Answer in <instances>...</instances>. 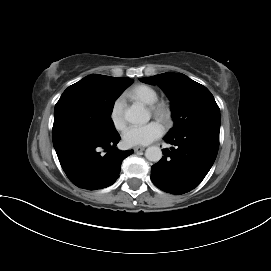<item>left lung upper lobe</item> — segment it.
<instances>
[{
	"label": "left lung upper lobe",
	"instance_id": "left-lung-upper-lobe-1",
	"mask_svg": "<svg viewBox=\"0 0 271 271\" xmlns=\"http://www.w3.org/2000/svg\"><path fill=\"white\" fill-rule=\"evenodd\" d=\"M140 80L157 84L171 100L174 127L168 136L200 127L220 128L219 107L213 95L203 85L184 74L172 72Z\"/></svg>",
	"mask_w": 271,
	"mask_h": 271
}]
</instances>
